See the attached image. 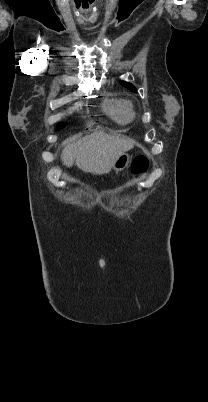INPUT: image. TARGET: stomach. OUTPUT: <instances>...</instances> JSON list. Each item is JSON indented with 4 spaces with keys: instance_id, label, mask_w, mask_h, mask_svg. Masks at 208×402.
Listing matches in <instances>:
<instances>
[{
    "instance_id": "stomach-1",
    "label": "stomach",
    "mask_w": 208,
    "mask_h": 402,
    "mask_svg": "<svg viewBox=\"0 0 208 402\" xmlns=\"http://www.w3.org/2000/svg\"><path fill=\"white\" fill-rule=\"evenodd\" d=\"M130 156L129 154H121L117 160L114 162V166L112 170H115V172H121V170H125L129 164Z\"/></svg>"
}]
</instances>
